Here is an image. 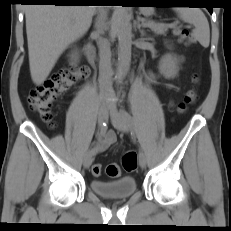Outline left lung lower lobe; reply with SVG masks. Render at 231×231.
<instances>
[{
	"mask_svg": "<svg viewBox=\"0 0 231 231\" xmlns=\"http://www.w3.org/2000/svg\"><path fill=\"white\" fill-rule=\"evenodd\" d=\"M207 9H208L209 12L212 14V7H207Z\"/></svg>",
	"mask_w": 231,
	"mask_h": 231,
	"instance_id": "0a47b994",
	"label": "left lung lower lobe"
}]
</instances>
